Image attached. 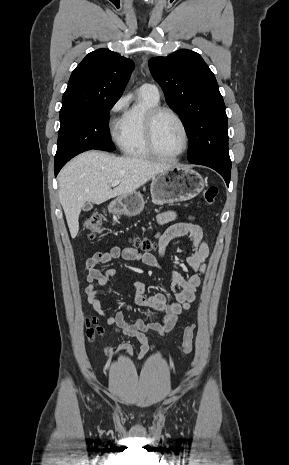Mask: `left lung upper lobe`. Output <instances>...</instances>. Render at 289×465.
<instances>
[{
    "instance_id": "obj_1",
    "label": "left lung upper lobe",
    "mask_w": 289,
    "mask_h": 465,
    "mask_svg": "<svg viewBox=\"0 0 289 465\" xmlns=\"http://www.w3.org/2000/svg\"><path fill=\"white\" fill-rule=\"evenodd\" d=\"M166 102L181 117L189 138L188 160L231 164L225 104L213 72L202 57L182 49L149 60Z\"/></svg>"
}]
</instances>
